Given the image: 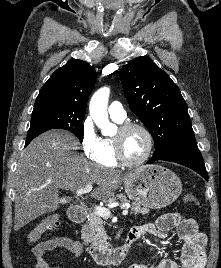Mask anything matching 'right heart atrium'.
I'll use <instances>...</instances> for the list:
<instances>
[{
  "mask_svg": "<svg viewBox=\"0 0 221 268\" xmlns=\"http://www.w3.org/2000/svg\"><path fill=\"white\" fill-rule=\"evenodd\" d=\"M80 140L84 155L89 160L97 162L102 150V138L90 117H86L82 122Z\"/></svg>",
  "mask_w": 221,
  "mask_h": 268,
  "instance_id": "right-heart-atrium-1",
  "label": "right heart atrium"
}]
</instances>
